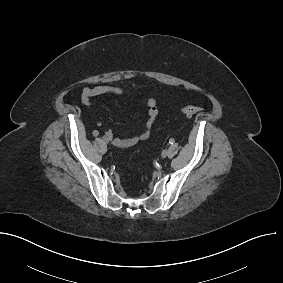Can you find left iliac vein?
Listing matches in <instances>:
<instances>
[{
	"label": "left iliac vein",
	"instance_id": "4c4485c4",
	"mask_svg": "<svg viewBox=\"0 0 283 283\" xmlns=\"http://www.w3.org/2000/svg\"><path fill=\"white\" fill-rule=\"evenodd\" d=\"M167 155H168V150L167 149L163 150L161 153V157L165 158Z\"/></svg>",
	"mask_w": 283,
	"mask_h": 283
}]
</instances>
